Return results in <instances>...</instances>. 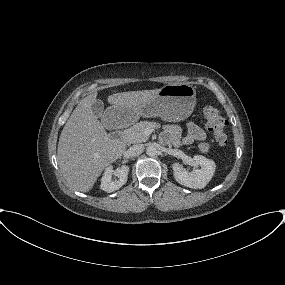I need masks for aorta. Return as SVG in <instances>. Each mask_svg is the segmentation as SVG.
Segmentation results:
<instances>
[{"instance_id":"obj_1","label":"aorta","mask_w":285,"mask_h":285,"mask_svg":"<svg viewBox=\"0 0 285 285\" xmlns=\"http://www.w3.org/2000/svg\"><path fill=\"white\" fill-rule=\"evenodd\" d=\"M146 153L148 156H155L157 154V148L153 145H150L147 147Z\"/></svg>"}]
</instances>
